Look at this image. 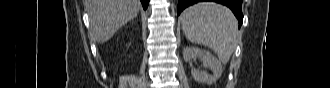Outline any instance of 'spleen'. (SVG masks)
Listing matches in <instances>:
<instances>
[{
	"label": "spleen",
	"instance_id": "spleen-1",
	"mask_svg": "<svg viewBox=\"0 0 330 88\" xmlns=\"http://www.w3.org/2000/svg\"><path fill=\"white\" fill-rule=\"evenodd\" d=\"M182 30L192 43L213 50L220 62L226 64L238 43L235 16L226 6L201 2L181 14Z\"/></svg>",
	"mask_w": 330,
	"mask_h": 88
}]
</instances>
